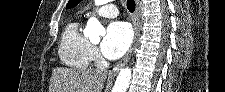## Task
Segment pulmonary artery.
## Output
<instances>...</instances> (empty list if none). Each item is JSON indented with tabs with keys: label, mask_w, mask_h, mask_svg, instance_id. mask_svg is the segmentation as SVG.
Returning a JSON list of instances; mask_svg holds the SVG:
<instances>
[{
	"label": "pulmonary artery",
	"mask_w": 225,
	"mask_h": 92,
	"mask_svg": "<svg viewBox=\"0 0 225 92\" xmlns=\"http://www.w3.org/2000/svg\"><path fill=\"white\" fill-rule=\"evenodd\" d=\"M95 13L102 17L114 18L118 15V9L115 3L103 0L102 7L97 9Z\"/></svg>",
	"instance_id": "e3ab8cb5"
}]
</instances>
